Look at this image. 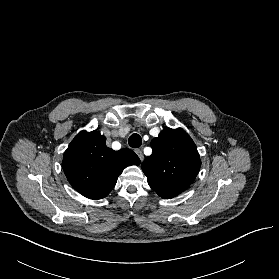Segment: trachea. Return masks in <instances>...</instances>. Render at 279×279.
Returning a JSON list of instances; mask_svg holds the SVG:
<instances>
[{
    "instance_id": "obj_1",
    "label": "trachea",
    "mask_w": 279,
    "mask_h": 279,
    "mask_svg": "<svg viewBox=\"0 0 279 279\" xmlns=\"http://www.w3.org/2000/svg\"><path fill=\"white\" fill-rule=\"evenodd\" d=\"M128 143L133 148H139L142 144L141 136L139 134H136V133L132 134L129 137Z\"/></svg>"
}]
</instances>
